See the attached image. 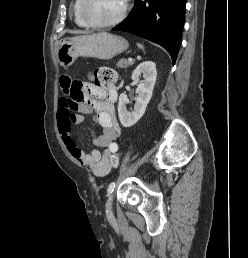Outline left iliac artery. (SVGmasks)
<instances>
[{
    "mask_svg": "<svg viewBox=\"0 0 248 258\" xmlns=\"http://www.w3.org/2000/svg\"><path fill=\"white\" fill-rule=\"evenodd\" d=\"M114 188H115V182L110 183V185L108 186V189H107L108 194L112 193Z\"/></svg>",
    "mask_w": 248,
    "mask_h": 258,
    "instance_id": "obj_1",
    "label": "left iliac artery"
}]
</instances>
